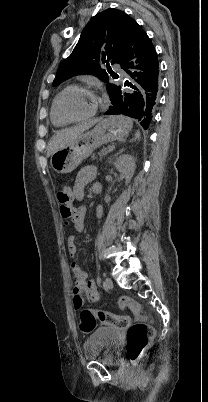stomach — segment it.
<instances>
[{
  "label": "stomach",
  "instance_id": "0dacf381",
  "mask_svg": "<svg viewBox=\"0 0 208 402\" xmlns=\"http://www.w3.org/2000/svg\"><path fill=\"white\" fill-rule=\"evenodd\" d=\"M132 122L126 116H108L101 120L94 130L83 134L71 144H66L51 156L50 164L58 174H69L73 172L83 160H86L96 148L120 140L129 134Z\"/></svg>",
  "mask_w": 208,
  "mask_h": 402
}]
</instances>
